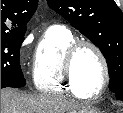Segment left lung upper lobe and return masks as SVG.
<instances>
[{
  "label": "left lung upper lobe",
  "instance_id": "5c2ea615",
  "mask_svg": "<svg viewBox=\"0 0 123 113\" xmlns=\"http://www.w3.org/2000/svg\"><path fill=\"white\" fill-rule=\"evenodd\" d=\"M107 60L109 89L123 101V14L114 0H47Z\"/></svg>",
  "mask_w": 123,
  "mask_h": 113
}]
</instances>
